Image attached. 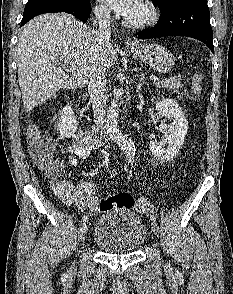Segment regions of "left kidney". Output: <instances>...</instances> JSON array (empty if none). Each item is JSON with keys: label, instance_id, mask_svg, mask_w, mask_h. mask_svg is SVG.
<instances>
[{"label": "left kidney", "instance_id": "left-kidney-1", "mask_svg": "<svg viewBox=\"0 0 233 294\" xmlns=\"http://www.w3.org/2000/svg\"><path fill=\"white\" fill-rule=\"evenodd\" d=\"M156 110L162 117L172 122L161 124L160 129L167 130L168 136L163 141H150V150L158 158L171 160L176 157L183 145L188 130V122L179 104L170 98L162 99L156 103Z\"/></svg>", "mask_w": 233, "mask_h": 294}]
</instances>
